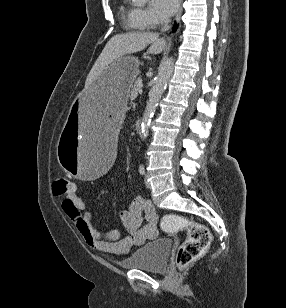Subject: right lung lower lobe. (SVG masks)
Masks as SVG:
<instances>
[{"label": "right lung lower lobe", "instance_id": "right-lung-lower-lobe-1", "mask_svg": "<svg viewBox=\"0 0 286 308\" xmlns=\"http://www.w3.org/2000/svg\"><path fill=\"white\" fill-rule=\"evenodd\" d=\"M176 27H177V25H176V23H175V26H174V28H173V29L175 30V29H176Z\"/></svg>", "mask_w": 286, "mask_h": 308}]
</instances>
